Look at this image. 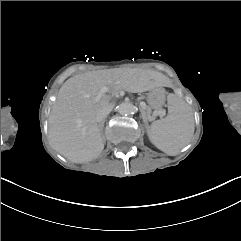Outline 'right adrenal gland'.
Listing matches in <instances>:
<instances>
[{
    "mask_svg": "<svg viewBox=\"0 0 241 241\" xmlns=\"http://www.w3.org/2000/svg\"><path fill=\"white\" fill-rule=\"evenodd\" d=\"M103 127H104V125L102 124V130H101V133H103Z\"/></svg>",
    "mask_w": 241,
    "mask_h": 241,
    "instance_id": "obj_1",
    "label": "right adrenal gland"
}]
</instances>
